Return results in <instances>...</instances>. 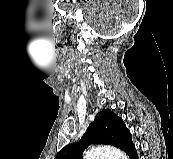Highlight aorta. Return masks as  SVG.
<instances>
[{
	"label": "aorta",
	"mask_w": 173,
	"mask_h": 159,
	"mask_svg": "<svg viewBox=\"0 0 173 159\" xmlns=\"http://www.w3.org/2000/svg\"><path fill=\"white\" fill-rule=\"evenodd\" d=\"M83 159H127V157L119 149L106 146L91 149Z\"/></svg>",
	"instance_id": "aorta-1"
}]
</instances>
